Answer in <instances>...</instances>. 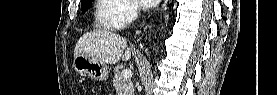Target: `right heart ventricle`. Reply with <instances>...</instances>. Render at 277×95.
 <instances>
[{"label":"right heart ventricle","mask_w":277,"mask_h":95,"mask_svg":"<svg viewBox=\"0 0 277 95\" xmlns=\"http://www.w3.org/2000/svg\"><path fill=\"white\" fill-rule=\"evenodd\" d=\"M123 7L121 0H96L95 22L100 30L110 31L123 24L120 11Z\"/></svg>","instance_id":"1"}]
</instances>
